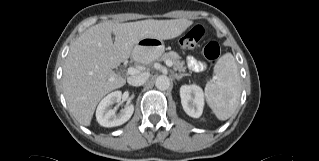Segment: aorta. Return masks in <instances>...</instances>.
<instances>
[{
	"instance_id": "762f6f07",
	"label": "aorta",
	"mask_w": 319,
	"mask_h": 161,
	"mask_svg": "<svg viewBox=\"0 0 319 161\" xmlns=\"http://www.w3.org/2000/svg\"><path fill=\"white\" fill-rule=\"evenodd\" d=\"M155 86L161 91L167 90L170 87V79L166 75H160L156 79Z\"/></svg>"
}]
</instances>
